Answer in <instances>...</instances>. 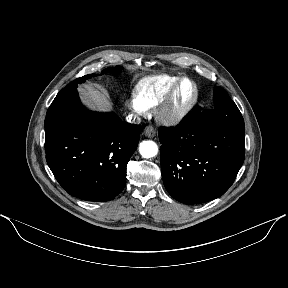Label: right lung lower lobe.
Segmentation results:
<instances>
[{"instance_id":"right-lung-lower-lobe-1","label":"right lung lower lobe","mask_w":288,"mask_h":288,"mask_svg":"<svg viewBox=\"0 0 288 288\" xmlns=\"http://www.w3.org/2000/svg\"><path fill=\"white\" fill-rule=\"evenodd\" d=\"M142 127L84 108L76 89L54 99L45 118L48 166L61 187L87 201H110L124 188Z\"/></svg>"}]
</instances>
